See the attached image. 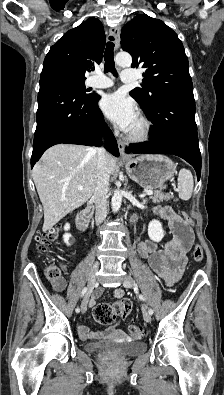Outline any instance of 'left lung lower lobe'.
Instances as JSON below:
<instances>
[{
    "label": "left lung lower lobe",
    "instance_id": "left-lung-lower-lobe-1",
    "mask_svg": "<svg viewBox=\"0 0 224 395\" xmlns=\"http://www.w3.org/2000/svg\"><path fill=\"white\" fill-rule=\"evenodd\" d=\"M153 123L150 142L129 145L128 153L174 154L189 162L201 174V154L195 123V100L191 97L165 101L152 112L145 113Z\"/></svg>",
    "mask_w": 224,
    "mask_h": 395
}]
</instances>
